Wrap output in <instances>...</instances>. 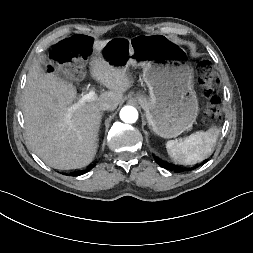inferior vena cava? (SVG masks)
Segmentation results:
<instances>
[{
  "instance_id": "inferior-vena-cava-1",
  "label": "inferior vena cava",
  "mask_w": 253,
  "mask_h": 253,
  "mask_svg": "<svg viewBox=\"0 0 253 253\" xmlns=\"http://www.w3.org/2000/svg\"><path fill=\"white\" fill-rule=\"evenodd\" d=\"M100 110H106V111H112V110H114L115 109V107H114V105L112 104V103H110V102H107V101H105V102H102L101 104H100Z\"/></svg>"
}]
</instances>
